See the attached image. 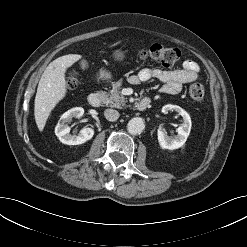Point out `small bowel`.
<instances>
[{
  "label": "small bowel",
  "instance_id": "1",
  "mask_svg": "<svg viewBox=\"0 0 247 247\" xmlns=\"http://www.w3.org/2000/svg\"><path fill=\"white\" fill-rule=\"evenodd\" d=\"M199 65L193 60H186L182 67L176 70H163L143 68L137 74L129 77L131 84L137 85L152 78L163 83L161 92L166 94H177L182 90L184 84L200 79Z\"/></svg>",
  "mask_w": 247,
  "mask_h": 247
}]
</instances>
